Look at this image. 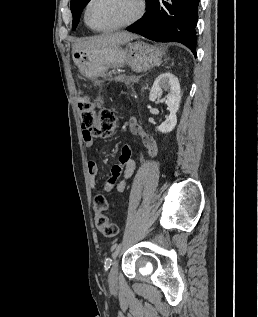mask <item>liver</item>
<instances>
[{
  "label": "liver",
  "instance_id": "6515ba94",
  "mask_svg": "<svg viewBox=\"0 0 258 317\" xmlns=\"http://www.w3.org/2000/svg\"><path fill=\"white\" fill-rule=\"evenodd\" d=\"M137 38V34L122 30V32H103L98 36H89V38H77L72 48L73 50H95L103 46H116V44H125L129 40Z\"/></svg>",
  "mask_w": 258,
  "mask_h": 317
}]
</instances>
